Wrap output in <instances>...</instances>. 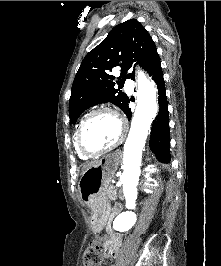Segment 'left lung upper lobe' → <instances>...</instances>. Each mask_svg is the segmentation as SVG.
Returning a JSON list of instances; mask_svg holds the SVG:
<instances>
[{
	"mask_svg": "<svg viewBox=\"0 0 221 266\" xmlns=\"http://www.w3.org/2000/svg\"><path fill=\"white\" fill-rule=\"evenodd\" d=\"M135 61L149 72L160 58L149 33L136 19H130L114 27L83 59L72 85L70 124L87 108L100 103L111 102L124 110L129 98L114 88L115 77L110 72L121 67L120 87L127 78L135 80L134 71L127 73Z\"/></svg>",
	"mask_w": 221,
	"mask_h": 266,
	"instance_id": "obj_1",
	"label": "left lung upper lobe"
}]
</instances>
